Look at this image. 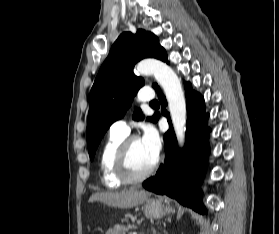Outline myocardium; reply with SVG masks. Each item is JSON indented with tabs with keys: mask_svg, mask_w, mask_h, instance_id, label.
<instances>
[{
	"mask_svg": "<svg viewBox=\"0 0 279 234\" xmlns=\"http://www.w3.org/2000/svg\"><path fill=\"white\" fill-rule=\"evenodd\" d=\"M140 139L137 135L125 137L119 144L114 160V169L116 175L124 183H138L147 179L157 168L159 158L143 173L137 174L132 171L129 165L130 147L133 141Z\"/></svg>",
	"mask_w": 279,
	"mask_h": 234,
	"instance_id": "obj_1",
	"label": "myocardium"
}]
</instances>
